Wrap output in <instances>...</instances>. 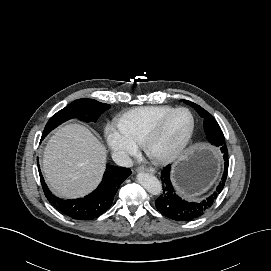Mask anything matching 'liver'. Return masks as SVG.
Masks as SVG:
<instances>
[{
  "label": "liver",
  "instance_id": "obj_1",
  "mask_svg": "<svg viewBox=\"0 0 271 271\" xmlns=\"http://www.w3.org/2000/svg\"><path fill=\"white\" fill-rule=\"evenodd\" d=\"M105 163L104 145L86 127L69 124L59 128L48 141L43 171L59 197L76 198L96 188Z\"/></svg>",
  "mask_w": 271,
  "mask_h": 271
}]
</instances>
